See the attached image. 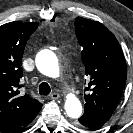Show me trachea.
Returning <instances> with one entry per match:
<instances>
[{"label": "trachea", "mask_w": 133, "mask_h": 133, "mask_svg": "<svg viewBox=\"0 0 133 133\" xmlns=\"http://www.w3.org/2000/svg\"><path fill=\"white\" fill-rule=\"evenodd\" d=\"M50 91H51V88L46 82H43L40 84L39 86L40 95H48Z\"/></svg>", "instance_id": "3493384b"}]
</instances>
